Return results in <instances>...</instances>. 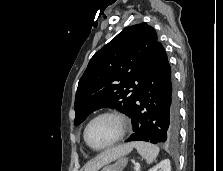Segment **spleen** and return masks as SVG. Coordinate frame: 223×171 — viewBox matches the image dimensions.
Here are the masks:
<instances>
[{"instance_id":"obj_1","label":"spleen","mask_w":223,"mask_h":171,"mask_svg":"<svg viewBox=\"0 0 223 171\" xmlns=\"http://www.w3.org/2000/svg\"><path fill=\"white\" fill-rule=\"evenodd\" d=\"M132 144L148 164H151L157 158L160 151L158 146L148 142L136 141Z\"/></svg>"}]
</instances>
